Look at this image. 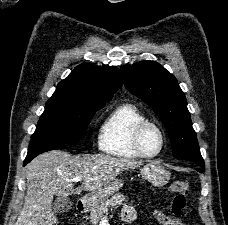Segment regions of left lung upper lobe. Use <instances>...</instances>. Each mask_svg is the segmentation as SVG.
I'll return each mask as SVG.
<instances>
[{"mask_svg":"<svg viewBox=\"0 0 228 225\" xmlns=\"http://www.w3.org/2000/svg\"><path fill=\"white\" fill-rule=\"evenodd\" d=\"M125 87L159 116L169 134L173 156L204 167L196 133L192 127L185 94L177 79L155 61L122 66Z\"/></svg>","mask_w":228,"mask_h":225,"instance_id":"5c2ea615","label":"left lung upper lobe"}]
</instances>
